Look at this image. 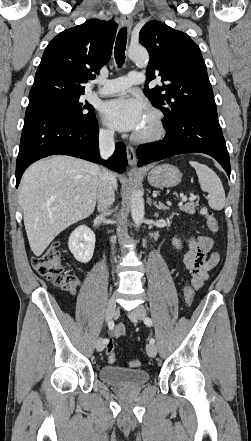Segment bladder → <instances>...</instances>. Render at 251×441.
<instances>
[{
	"label": "bladder",
	"mask_w": 251,
	"mask_h": 441,
	"mask_svg": "<svg viewBox=\"0 0 251 441\" xmlns=\"http://www.w3.org/2000/svg\"><path fill=\"white\" fill-rule=\"evenodd\" d=\"M102 381L119 388H137L145 385L150 374L143 369H129L120 366H103L99 370Z\"/></svg>",
	"instance_id": "bladder-1"
}]
</instances>
